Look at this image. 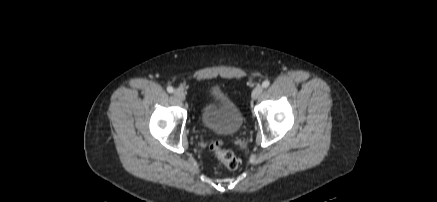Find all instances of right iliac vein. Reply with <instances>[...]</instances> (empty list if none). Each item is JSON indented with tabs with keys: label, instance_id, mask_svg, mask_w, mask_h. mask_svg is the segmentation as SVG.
Instances as JSON below:
<instances>
[{
	"label": "right iliac vein",
	"instance_id": "1",
	"mask_svg": "<svg viewBox=\"0 0 437 202\" xmlns=\"http://www.w3.org/2000/svg\"><path fill=\"white\" fill-rule=\"evenodd\" d=\"M174 96L176 99H178L180 101H184L185 97H186L185 92L183 90H179V89H176L174 91Z\"/></svg>",
	"mask_w": 437,
	"mask_h": 202
}]
</instances>
